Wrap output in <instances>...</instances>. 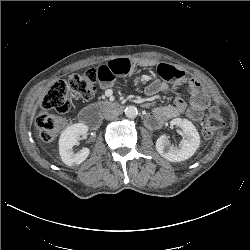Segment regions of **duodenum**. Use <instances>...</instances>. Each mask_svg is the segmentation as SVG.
I'll use <instances>...</instances> for the list:
<instances>
[{"instance_id":"obj_1","label":"duodenum","mask_w":250,"mask_h":250,"mask_svg":"<svg viewBox=\"0 0 250 250\" xmlns=\"http://www.w3.org/2000/svg\"><path fill=\"white\" fill-rule=\"evenodd\" d=\"M123 106L118 102H99L81 111L80 120L88 127L95 129L99 126L104 111L121 112Z\"/></svg>"}]
</instances>
